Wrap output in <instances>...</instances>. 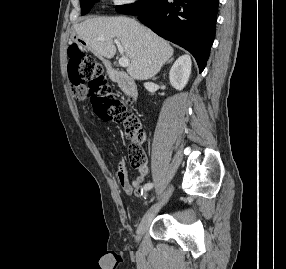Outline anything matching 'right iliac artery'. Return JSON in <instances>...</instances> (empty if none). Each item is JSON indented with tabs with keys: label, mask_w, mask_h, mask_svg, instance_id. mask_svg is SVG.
Listing matches in <instances>:
<instances>
[{
	"label": "right iliac artery",
	"mask_w": 286,
	"mask_h": 269,
	"mask_svg": "<svg viewBox=\"0 0 286 269\" xmlns=\"http://www.w3.org/2000/svg\"><path fill=\"white\" fill-rule=\"evenodd\" d=\"M153 187V184L152 183H150V182H148V183H146L145 185H144V190H149V189H151Z\"/></svg>",
	"instance_id": "1"
}]
</instances>
